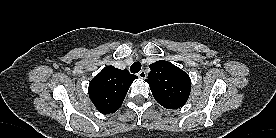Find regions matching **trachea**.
<instances>
[{"label":"trachea","instance_id":"3493384b","mask_svg":"<svg viewBox=\"0 0 276 138\" xmlns=\"http://www.w3.org/2000/svg\"><path fill=\"white\" fill-rule=\"evenodd\" d=\"M141 70V63L140 62H134L131 67H130V71L132 73H138Z\"/></svg>","mask_w":276,"mask_h":138}]
</instances>
